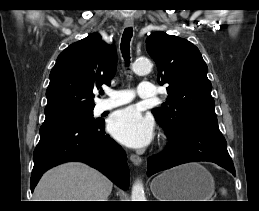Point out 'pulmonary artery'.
I'll return each instance as SVG.
<instances>
[{"instance_id":"1","label":"pulmonary artery","mask_w":259,"mask_h":211,"mask_svg":"<svg viewBox=\"0 0 259 211\" xmlns=\"http://www.w3.org/2000/svg\"><path fill=\"white\" fill-rule=\"evenodd\" d=\"M108 98L101 100L96 107L97 112H104L124 104L130 103L134 95L130 90H107ZM157 92L153 84L142 81L138 87V96L140 98L150 99L156 96Z\"/></svg>"}]
</instances>
